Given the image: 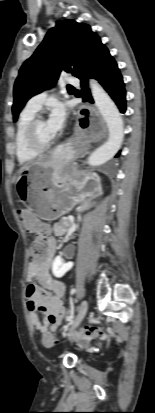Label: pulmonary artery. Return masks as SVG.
Here are the masks:
<instances>
[{
  "label": "pulmonary artery",
  "mask_w": 155,
  "mask_h": 413,
  "mask_svg": "<svg viewBox=\"0 0 155 413\" xmlns=\"http://www.w3.org/2000/svg\"><path fill=\"white\" fill-rule=\"evenodd\" d=\"M65 82L69 84H73V85L78 84L77 78L72 75L67 76L65 79ZM46 97H47L46 92L39 93L28 100L26 107L33 111H38L41 108L42 104L44 103Z\"/></svg>",
  "instance_id": "pulmonary-artery-1"
}]
</instances>
